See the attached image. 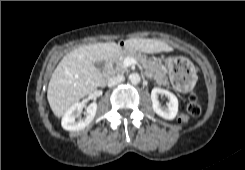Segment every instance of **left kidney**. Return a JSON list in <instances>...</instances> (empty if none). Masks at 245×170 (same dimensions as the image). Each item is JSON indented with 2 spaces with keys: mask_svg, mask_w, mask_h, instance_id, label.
<instances>
[{
  "mask_svg": "<svg viewBox=\"0 0 245 170\" xmlns=\"http://www.w3.org/2000/svg\"><path fill=\"white\" fill-rule=\"evenodd\" d=\"M159 95L167 96V106H161L158 100ZM151 100L153 110L157 115L167 120H172L176 117L178 113V99L173 93L168 90L155 87L151 91Z\"/></svg>",
  "mask_w": 245,
  "mask_h": 170,
  "instance_id": "5707ae66",
  "label": "left kidney"
}]
</instances>
